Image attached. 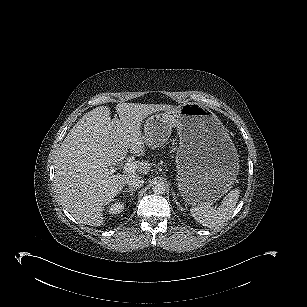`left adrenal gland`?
<instances>
[{"label":"left adrenal gland","instance_id":"a2214340","mask_svg":"<svg viewBox=\"0 0 307 307\" xmlns=\"http://www.w3.org/2000/svg\"><path fill=\"white\" fill-rule=\"evenodd\" d=\"M173 199L175 200L176 205L181 208L180 203L177 201L176 196H175V192H173Z\"/></svg>","mask_w":307,"mask_h":307}]
</instances>
